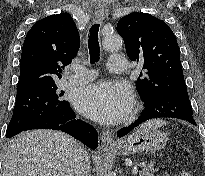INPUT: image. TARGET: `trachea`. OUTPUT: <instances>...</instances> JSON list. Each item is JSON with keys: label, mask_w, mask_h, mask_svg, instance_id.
<instances>
[{"label": "trachea", "mask_w": 205, "mask_h": 176, "mask_svg": "<svg viewBox=\"0 0 205 176\" xmlns=\"http://www.w3.org/2000/svg\"><path fill=\"white\" fill-rule=\"evenodd\" d=\"M99 27L100 24L96 23L90 28V35L88 40V48L90 55V63L97 62L100 58V46H99Z\"/></svg>", "instance_id": "trachea-1"}]
</instances>
